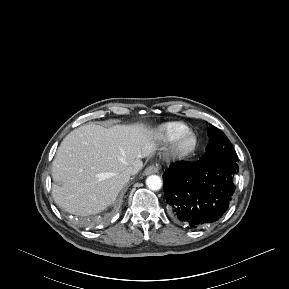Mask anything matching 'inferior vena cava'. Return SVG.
Listing matches in <instances>:
<instances>
[{
	"label": "inferior vena cava",
	"instance_id": "obj_1",
	"mask_svg": "<svg viewBox=\"0 0 289 289\" xmlns=\"http://www.w3.org/2000/svg\"><path fill=\"white\" fill-rule=\"evenodd\" d=\"M136 171L133 167H128L125 171L124 174L128 177H130L131 175L135 174Z\"/></svg>",
	"mask_w": 289,
	"mask_h": 289
}]
</instances>
